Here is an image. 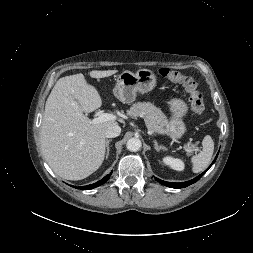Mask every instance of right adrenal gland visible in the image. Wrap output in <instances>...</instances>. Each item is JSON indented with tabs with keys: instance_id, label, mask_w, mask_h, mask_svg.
Returning <instances> with one entry per match:
<instances>
[{
	"instance_id": "obj_1",
	"label": "right adrenal gland",
	"mask_w": 253,
	"mask_h": 253,
	"mask_svg": "<svg viewBox=\"0 0 253 253\" xmlns=\"http://www.w3.org/2000/svg\"><path fill=\"white\" fill-rule=\"evenodd\" d=\"M111 141H112V140H107V141H106V159H107L108 156H109V151H110L109 143H110Z\"/></svg>"
}]
</instances>
